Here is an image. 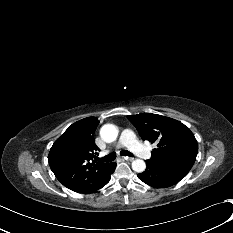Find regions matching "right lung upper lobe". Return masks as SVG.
Listing matches in <instances>:
<instances>
[{"instance_id": "right-lung-upper-lobe-1", "label": "right lung upper lobe", "mask_w": 233, "mask_h": 233, "mask_svg": "<svg viewBox=\"0 0 233 233\" xmlns=\"http://www.w3.org/2000/svg\"><path fill=\"white\" fill-rule=\"evenodd\" d=\"M98 124L95 117L75 122L50 149L48 161L51 170L72 191L91 193L112 167L113 163L105 164L93 160L99 150L94 142Z\"/></svg>"}]
</instances>
